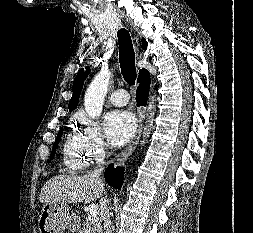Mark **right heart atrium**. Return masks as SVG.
Returning <instances> with one entry per match:
<instances>
[{
    "mask_svg": "<svg viewBox=\"0 0 253 233\" xmlns=\"http://www.w3.org/2000/svg\"><path fill=\"white\" fill-rule=\"evenodd\" d=\"M77 134L80 136L89 158L103 160L108 152V144L97 121L79 114L75 118Z\"/></svg>",
    "mask_w": 253,
    "mask_h": 233,
    "instance_id": "d8ad5b80",
    "label": "right heart atrium"
}]
</instances>
